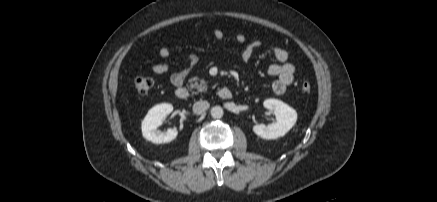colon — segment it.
Segmentation results:
<instances>
[{
    "label": "colon",
    "mask_w": 437,
    "mask_h": 202,
    "mask_svg": "<svg viewBox=\"0 0 437 202\" xmlns=\"http://www.w3.org/2000/svg\"><path fill=\"white\" fill-rule=\"evenodd\" d=\"M153 86V80L149 77L139 76L134 80V87L136 91L141 94H147ZM311 84L308 81H303L300 85V89L303 93L308 94L311 92Z\"/></svg>",
    "instance_id": "obj_1"
}]
</instances>
